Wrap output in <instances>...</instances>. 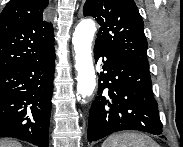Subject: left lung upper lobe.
Instances as JSON below:
<instances>
[{"label": "left lung upper lobe", "instance_id": "obj_1", "mask_svg": "<svg viewBox=\"0 0 183 147\" xmlns=\"http://www.w3.org/2000/svg\"><path fill=\"white\" fill-rule=\"evenodd\" d=\"M83 14L101 26L95 45L149 69L144 24L133 0H86Z\"/></svg>", "mask_w": 183, "mask_h": 147}]
</instances>
